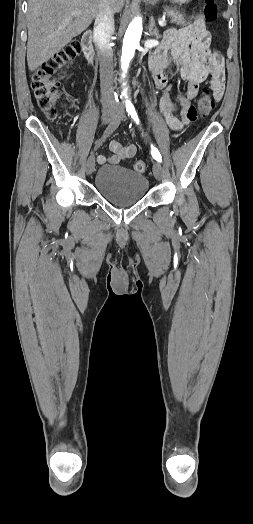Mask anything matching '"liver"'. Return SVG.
Segmentation results:
<instances>
[{"label":"liver","mask_w":253,"mask_h":524,"mask_svg":"<svg viewBox=\"0 0 253 524\" xmlns=\"http://www.w3.org/2000/svg\"><path fill=\"white\" fill-rule=\"evenodd\" d=\"M124 3L125 0H108L114 13L120 12ZM103 5V0H28L29 70L35 71L85 31Z\"/></svg>","instance_id":"6515ba94"}]
</instances>
